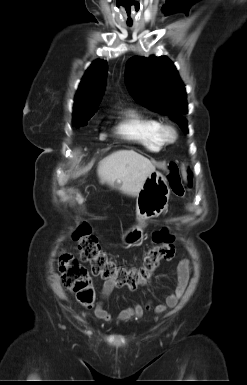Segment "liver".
<instances>
[{
	"label": "liver",
	"mask_w": 247,
	"mask_h": 385,
	"mask_svg": "<svg viewBox=\"0 0 247 385\" xmlns=\"http://www.w3.org/2000/svg\"><path fill=\"white\" fill-rule=\"evenodd\" d=\"M155 171L152 162L133 150H119L104 158L98 166L97 173L101 183L114 187L129 196H137L146 178ZM77 201L83 202L78 195Z\"/></svg>",
	"instance_id": "obj_1"
}]
</instances>
